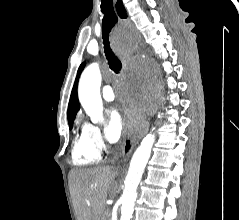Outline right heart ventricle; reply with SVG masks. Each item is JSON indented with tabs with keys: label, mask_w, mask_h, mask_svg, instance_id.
Here are the masks:
<instances>
[{
	"label": "right heart ventricle",
	"mask_w": 239,
	"mask_h": 220,
	"mask_svg": "<svg viewBox=\"0 0 239 220\" xmlns=\"http://www.w3.org/2000/svg\"><path fill=\"white\" fill-rule=\"evenodd\" d=\"M99 160L100 153L90 144L82 126L72 147V162L78 166H88Z\"/></svg>",
	"instance_id": "obj_1"
}]
</instances>
